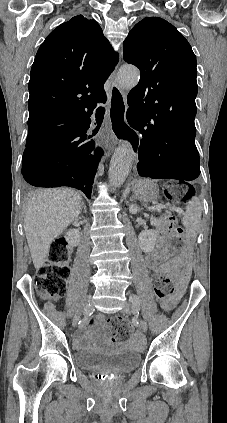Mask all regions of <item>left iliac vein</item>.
I'll return each mask as SVG.
<instances>
[{"instance_id": "left-iliac-vein-1", "label": "left iliac vein", "mask_w": 227, "mask_h": 423, "mask_svg": "<svg viewBox=\"0 0 227 423\" xmlns=\"http://www.w3.org/2000/svg\"><path fill=\"white\" fill-rule=\"evenodd\" d=\"M134 306H138V305H137V304H134V305H132V306H131V303H125V304L123 305L122 312H123V313H126V314H129V313L131 312V307H132V309H133V308H134ZM136 321H137V322H138V324H139V328H140L142 331L146 332V331H147V329H148L146 321H145V320H143V319H141V318H136Z\"/></svg>"}]
</instances>
